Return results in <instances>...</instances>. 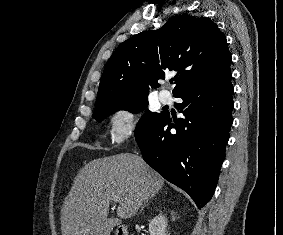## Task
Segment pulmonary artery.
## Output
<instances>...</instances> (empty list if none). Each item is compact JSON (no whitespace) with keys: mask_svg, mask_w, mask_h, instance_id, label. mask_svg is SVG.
Here are the masks:
<instances>
[{"mask_svg":"<svg viewBox=\"0 0 283 235\" xmlns=\"http://www.w3.org/2000/svg\"><path fill=\"white\" fill-rule=\"evenodd\" d=\"M159 99L162 103L167 104L171 102L172 95L170 92L163 90L159 92Z\"/></svg>","mask_w":283,"mask_h":235,"instance_id":"pulmonary-artery-1","label":"pulmonary artery"}]
</instances>
